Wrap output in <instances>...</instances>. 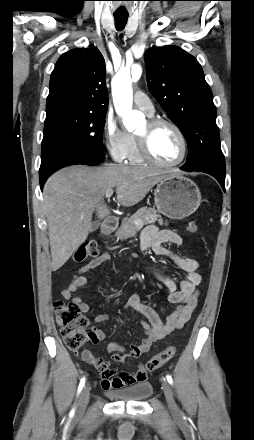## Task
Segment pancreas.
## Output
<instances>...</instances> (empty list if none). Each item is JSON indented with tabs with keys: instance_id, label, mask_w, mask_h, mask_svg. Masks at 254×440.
<instances>
[{
	"instance_id": "cf45deb5",
	"label": "pancreas",
	"mask_w": 254,
	"mask_h": 440,
	"mask_svg": "<svg viewBox=\"0 0 254 440\" xmlns=\"http://www.w3.org/2000/svg\"><path fill=\"white\" fill-rule=\"evenodd\" d=\"M138 220L141 221L142 226L155 223L156 221H158L159 225H163L162 217L154 208L142 207L132 216L125 218L122 221V224L116 233L117 236L120 239H127L134 236L142 228V226L135 225V221ZM165 225H167V222H165Z\"/></svg>"
}]
</instances>
